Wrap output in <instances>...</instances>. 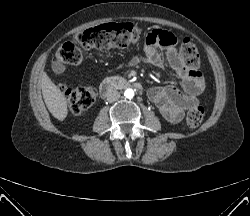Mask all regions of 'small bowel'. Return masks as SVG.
Here are the masks:
<instances>
[{
	"label": "small bowel",
	"mask_w": 250,
	"mask_h": 216,
	"mask_svg": "<svg viewBox=\"0 0 250 216\" xmlns=\"http://www.w3.org/2000/svg\"><path fill=\"white\" fill-rule=\"evenodd\" d=\"M176 38L170 32L156 30L147 34L142 42L144 53L132 58L126 65L134 66L141 62L164 67L168 65L181 79L182 90L174 84L153 87L149 90L150 100L157 106L161 115L171 123L182 120L184 112L199 104L204 89V80L198 71L187 70L175 49ZM166 48L163 58L159 50Z\"/></svg>",
	"instance_id": "c3829d8e"
}]
</instances>
